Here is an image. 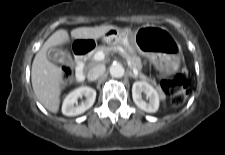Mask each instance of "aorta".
Listing matches in <instances>:
<instances>
[{
  "label": "aorta",
  "mask_w": 225,
  "mask_h": 155,
  "mask_svg": "<svg viewBox=\"0 0 225 155\" xmlns=\"http://www.w3.org/2000/svg\"><path fill=\"white\" fill-rule=\"evenodd\" d=\"M125 73V69L121 64H113L110 67V75L114 78H121Z\"/></svg>",
  "instance_id": "1"
}]
</instances>
